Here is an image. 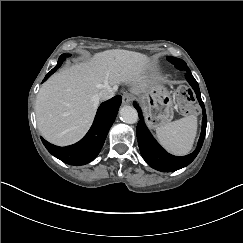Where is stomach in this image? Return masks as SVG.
<instances>
[{"label": "stomach", "mask_w": 243, "mask_h": 243, "mask_svg": "<svg viewBox=\"0 0 243 243\" xmlns=\"http://www.w3.org/2000/svg\"><path fill=\"white\" fill-rule=\"evenodd\" d=\"M138 100L150 128H157L171 122L173 98L160 81H152L145 92L138 94Z\"/></svg>", "instance_id": "0dacf381"}]
</instances>
